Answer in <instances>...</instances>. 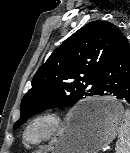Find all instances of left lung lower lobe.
<instances>
[{
	"label": "left lung lower lobe",
	"instance_id": "0a47b994",
	"mask_svg": "<svg viewBox=\"0 0 130 153\" xmlns=\"http://www.w3.org/2000/svg\"><path fill=\"white\" fill-rule=\"evenodd\" d=\"M98 95H114L130 104V44L122 35L100 75ZM95 114L92 108L80 109L76 118L85 120Z\"/></svg>",
	"mask_w": 130,
	"mask_h": 153
}]
</instances>
